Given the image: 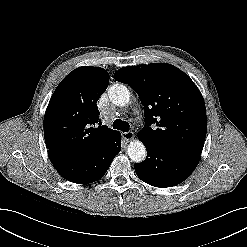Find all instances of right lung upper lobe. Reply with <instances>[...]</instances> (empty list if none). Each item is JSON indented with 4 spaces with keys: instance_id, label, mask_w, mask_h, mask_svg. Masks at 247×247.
I'll return each mask as SVG.
<instances>
[{
    "instance_id": "obj_1",
    "label": "right lung upper lobe",
    "mask_w": 247,
    "mask_h": 247,
    "mask_svg": "<svg viewBox=\"0 0 247 247\" xmlns=\"http://www.w3.org/2000/svg\"><path fill=\"white\" fill-rule=\"evenodd\" d=\"M108 84L106 70L87 66L73 70L61 81L44 117V136L49 150L86 157L119 133L102 125L99 119L96 103Z\"/></svg>"
}]
</instances>
